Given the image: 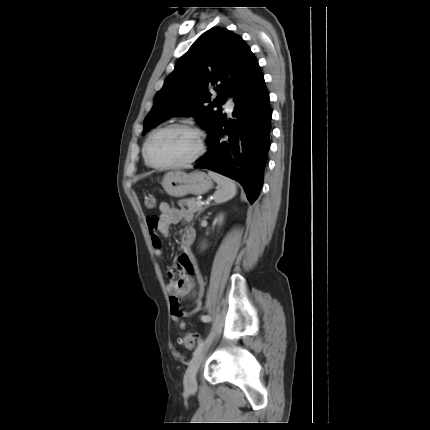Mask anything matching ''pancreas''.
<instances>
[{
	"label": "pancreas",
	"mask_w": 430,
	"mask_h": 430,
	"mask_svg": "<svg viewBox=\"0 0 430 430\" xmlns=\"http://www.w3.org/2000/svg\"><path fill=\"white\" fill-rule=\"evenodd\" d=\"M179 206L186 205L188 207V210L191 212H201L203 210L202 206L197 205V200L195 198L190 199H184L178 202Z\"/></svg>",
	"instance_id": "cf45deb5"
}]
</instances>
